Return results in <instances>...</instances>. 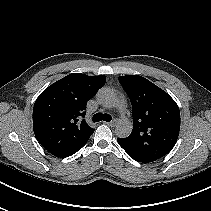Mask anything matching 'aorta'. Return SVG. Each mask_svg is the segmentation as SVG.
Returning a JSON list of instances; mask_svg holds the SVG:
<instances>
[{"label": "aorta", "instance_id": "obj_1", "mask_svg": "<svg viewBox=\"0 0 211 211\" xmlns=\"http://www.w3.org/2000/svg\"><path fill=\"white\" fill-rule=\"evenodd\" d=\"M97 99L101 105L112 108L117 103V97L113 90L103 88L97 93ZM132 131V123L126 119H120L115 128V133L120 138H126Z\"/></svg>", "mask_w": 211, "mask_h": 211}]
</instances>
